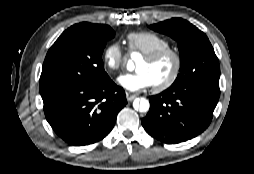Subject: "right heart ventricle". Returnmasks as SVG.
<instances>
[{
    "label": "right heart ventricle",
    "instance_id": "right-heart-ventricle-1",
    "mask_svg": "<svg viewBox=\"0 0 254 174\" xmlns=\"http://www.w3.org/2000/svg\"><path fill=\"white\" fill-rule=\"evenodd\" d=\"M127 41L130 52H137L143 56L170 46V41L166 37L151 31L132 32L127 35Z\"/></svg>",
    "mask_w": 254,
    "mask_h": 174
}]
</instances>
